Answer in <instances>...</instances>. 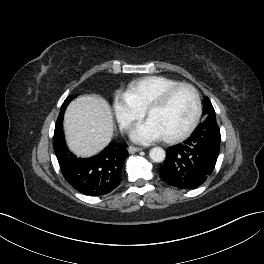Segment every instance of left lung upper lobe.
<instances>
[{
  "label": "left lung upper lobe",
  "mask_w": 264,
  "mask_h": 264,
  "mask_svg": "<svg viewBox=\"0 0 264 264\" xmlns=\"http://www.w3.org/2000/svg\"><path fill=\"white\" fill-rule=\"evenodd\" d=\"M203 114L206 116L205 121H216L214 108H213L210 100L207 97L204 100Z\"/></svg>",
  "instance_id": "5c2ea615"
}]
</instances>
